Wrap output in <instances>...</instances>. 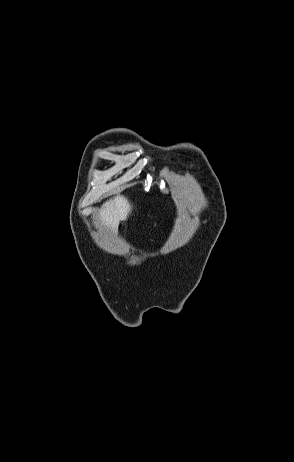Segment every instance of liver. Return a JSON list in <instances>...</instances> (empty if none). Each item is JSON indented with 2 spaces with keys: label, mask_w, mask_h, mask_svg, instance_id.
Returning <instances> with one entry per match:
<instances>
[{
  "label": "liver",
  "mask_w": 294,
  "mask_h": 462,
  "mask_svg": "<svg viewBox=\"0 0 294 462\" xmlns=\"http://www.w3.org/2000/svg\"><path fill=\"white\" fill-rule=\"evenodd\" d=\"M132 206L123 196H117L114 199L103 204L99 211V220L102 225L117 232L119 221H125L131 212Z\"/></svg>",
  "instance_id": "6515ba94"
}]
</instances>
